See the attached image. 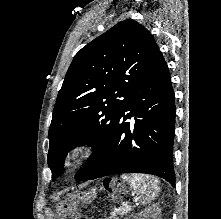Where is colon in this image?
<instances>
[{
	"mask_svg": "<svg viewBox=\"0 0 221 219\" xmlns=\"http://www.w3.org/2000/svg\"><path fill=\"white\" fill-rule=\"evenodd\" d=\"M64 219H82L74 210L63 211Z\"/></svg>",
	"mask_w": 221,
	"mask_h": 219,
	"instance_id": "colon-1",
	"label": "colon"
}]
</instances>
